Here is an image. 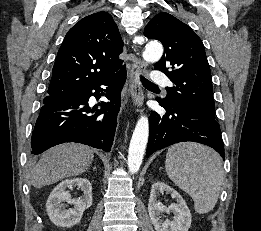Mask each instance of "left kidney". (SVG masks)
<instances>
[{
    "instance_id": "left-kidney-1",
    "label": "left kidney",
    "mask_w": 261,
    "mask_h": 231,
    "mask_svg": "<svg viewBox=\"0 0 261 231\" xmlns=\"http://www.w3.org/2000/svg\"><path fill=\"white\" fill-rule=\"evenodd\" d=\"M170 194L176 203L164 206L159 200V193ZM148 212L156 231H188L191 226V213L180 194L164 182H156L151 187ZM173 213V220L161 219V213Z\"/></svg>"
}]
</instances>
